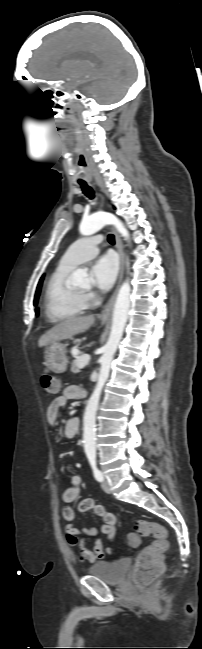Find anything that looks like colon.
<instances>
[{
    "mask_svg": "<svg viewBox=\"0 0 202 649\" xmlns=\"http://www.w3.org/2000/svg\"><path fill=\"white\" fill-rule=\"evenodd\" d=\"M41 386L45 393L56 395L61 389L60 380L52 374H44L41 377ZM113 521L111 516L107 517ZM140 536H152L154 541L144 548L136 557L133 577L139 588L146 587L155 579L163 569V553L168 548L167 530L155 522L140 520L136 522L134 532L128 534L130 543L138 542Z\"/></svg>",
    "mask_w": 202,
    "mask_h": 649,
    "instance_id": "obj_1",
    "label": "colon"
}]
</instances>
